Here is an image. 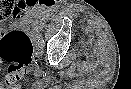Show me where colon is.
Here are the masks:
<instances>
[{"label":"colon","mask_w":131,"mask_h":89,"mask_svg":"<svg viewBox=\"0 0 131 89\" xmlns=\"http://www.w3.org/2000/svg\"><path fill=\"white\" fill-rule=\"evenodd\" d=\"M25 8L23 2L0 0V21L17 17ZM34 49L28 35L22 31H12L0 39V69L6 66L4 85L18 88L32 62Z\"/></svg>","instance_id":"5ec220e1"}]
</instances>
